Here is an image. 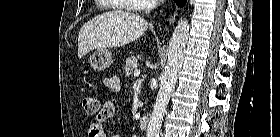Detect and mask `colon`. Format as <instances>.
<instances>
[{
  "label": "colon",
  "instance_id": "colon-1",
  "mask_svg": "<svg viewBox=\"0 0 280 137\" xmlns=\"http://www.w3.org/2000/svg\"><path fill=\"white\" fill-rule=\"evenodd\" d=\"M82 106L88 115H94L99 110V101L94 97L86 96L82 98Z\"/></svg>",
  "mask_w": 280,
  "mask_h": 137
}]
</instances>
